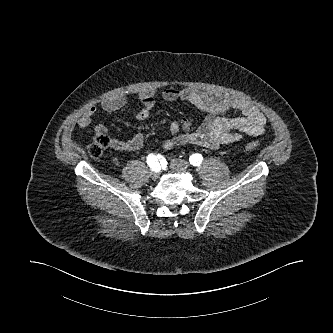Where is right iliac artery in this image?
<instances>
[{"instance_id":"obj_1","label":"right iliac artery","mask_w":333,"mask_h":333,"mask_svg":"<svg viewBox=\"0 0 333 333\" xmlns=\"http://www.w3.org/2000/svg\"><path fill=\"white\" fill-rule=\"evenodd\" d=\"M163 161L162 155L149 154L147 156V163L153 171H159L161 169L160 163L162 164Z\"/></svg>"}]
</instances>
